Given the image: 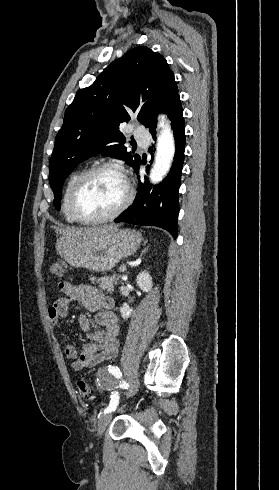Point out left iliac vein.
Listing matches in <instances>:
<instances>
[{"label":"left iliac vein","mask_w":279,"mask_h":490,"mask_svg":"<svg viewBox=\"0 0 279 490\" xmlns=\"http://www.w3.org/2000/svg\"><path fill=\"white\" fill-rule=\"evenodd\" d=\"M133 383H134V386H133V388H132L131 391L127 392V394H126L127 397L132 396L137 391L138 380L136 379ZM111 420H112V413L104 414L98 420V423H97V434H98L99 437L106 430V428L108 427V425L111 422Z\"/></svg>","instance_id":"obj_1"}]
</instances>
